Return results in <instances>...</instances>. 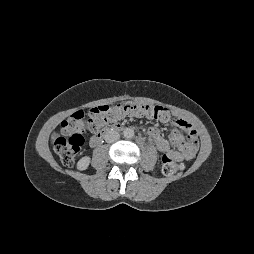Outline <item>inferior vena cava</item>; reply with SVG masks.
Returning <instances> with one entry per match:
<instances>
[{
    "label": "inferior vena cava",
    "instance_id": "602c4592",
    "mask_svg": "<svg viewBox=\"0 0 254 254\" xmlns=\"http://www.w3.org/2000/svg\"><path fill=\"white\" fill-rule=\"evenodd\" d=\"M119 138H120V134L114 130H109L104 135V139L107 143H114L118 141Z\"/></svg>",
    "mask_w": 254,
    "mask_h": 254
}]
</instances>
